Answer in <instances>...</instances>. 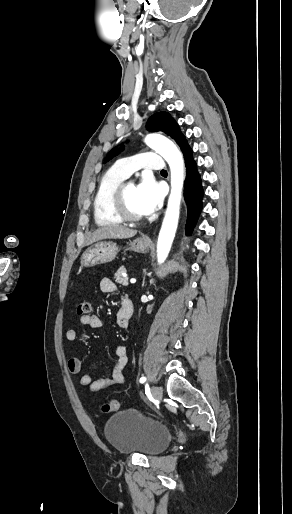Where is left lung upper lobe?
<instances>
[{"mask_svg": "<svg viewBox=\"0 0 292 514\" xmlns=\"http://www.w3.org/2000/svg\"><path fill=\"white\" fill-rule=\"evenodd\" d=\"M146 126L147 129L151 132L161 131L170 136L171 138H173L176 141V143L180 146L182 152L188 146L187 140L185 136L181 133L178 124L167 112L162 111L153 114L149 118ZM123 149V145H121L120 148H113L106 156L104 162L106 163L114 156L118 155Z\"/></svg>", "mask_w": 292, "mask_h": 514, "instance_id": "obj_1", "label": "left lung upper lobe"}]
</instances>
